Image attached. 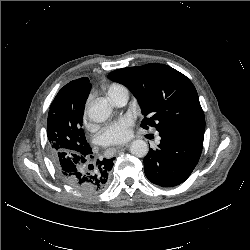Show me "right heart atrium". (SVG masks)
I'll use <instances>...</instances> for the list:
<instances>
[{"mask_svg":"<svg viewBox=\"0 0 250 250\" xmlns=\"http://www.w3.org/2000/svg\"><path fill=\"white\" fill-rule=\"evenodd\" d=\"M86 117H87V111L85 110V112H84V118L86 119Z\"/></svg>","mask_w":250,"mask_h":250,"instance_id":"right-heart-atrium-1","label":"right heart atrium"}]
</instances>
